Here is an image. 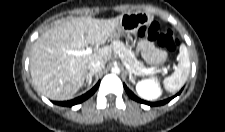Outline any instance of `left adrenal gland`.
Listing matches in <instances>:
<instances>
[{
    "label": "left adrenal gland",
    "instance_id": "a2214340",
    "mask_svg": "<svg viewBox=\"0 0 225 132\" xmlns=\"http://www.w3.org/2000/svg\"><path fill=\"white\" fill-rule=\"evenodd\" d=\"M129 80H130L132 83L135 82V81H134V78H133V75H132L131 72H129Z\"/></svg>",
    "mask_w": 225,
    "mask_h": 132
}]
</instances>
